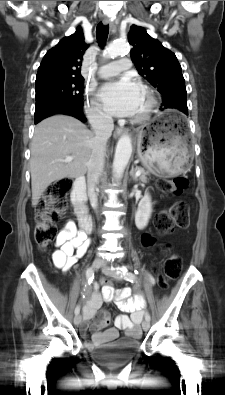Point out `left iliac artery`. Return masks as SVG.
<instances>
[{
    "mask_svg": "<svg viewBox=\"0 0 225 395\" xmlns=\"http://www.w3.org/2000/svg\"><path fill=\"white\" fill-rule=\"evenodd\" d=\"M123 276H124V279H126L127 281H129L131 283L136 281V276L134 273L124 271ZM145 319L148 321H150V319H151L150 314L148 312L145 314Z\"/></svg>",
    "mask_w": 225,
    "mask_h": 395,
    "instance_id": "44dca946",
    "label": "left iliac artery"
}]
</instances>
